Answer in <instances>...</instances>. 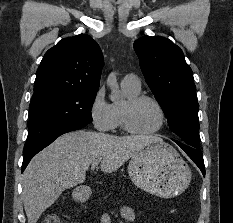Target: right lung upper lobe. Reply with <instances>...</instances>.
Returning a JSON list of instances; mask_svg holds the SVG:
<instances>
[{"mask_svg": "<svg viewBox=\"0 0 233 223\" xmlns=\"http://www.w3.org/2000/svg\"><path fill=\"white\" fill-rule=\"evenodd\" d=\"M103 64L102 51L90 36L64 38L44 55L33 95L57 90L98 91Z\"/></svg>", "mask_w": 233, "mask_h": 223, "instance_id": "right-lung-upper-lobe-1", "label": "right lung upper lobe"}]
</instances>
